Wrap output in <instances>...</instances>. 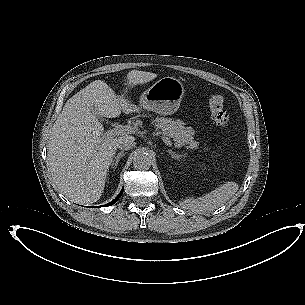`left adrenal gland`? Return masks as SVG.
Masks as SVG:
<instances>
[{"label":"left adrenal gland","instance_id":"obj_1","mask_svg":"<svg viewBox=\"0 0 305 305\" xmlns=\"http://www.w3.org/2000/svg\"><path fill=\"white\" fill-rule=\"evenodd\" d=\"M167 152L171 155V157L173 159H180L182 157V154L176 153V152H174L172 150H167Z\"/></svg>","mask_w":305,"mask_h":305}]
</instances>
